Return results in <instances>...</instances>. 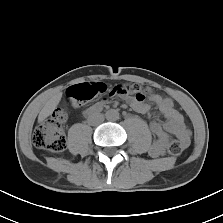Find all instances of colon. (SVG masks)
Returning <instances> with one entry per match:
<instances>
[{
    "label": "colon",
    "mask_w": 223,
    "mask_h": 223,
    "mask_svg": "<svg viewBox=\"0 0 223 223\" xmlns=\"http://www.w3.org/2000/svg\"><path fill=\"white\" fill-rule=\"evenodd\" d=\"M106 91V86L100 82L80 83L70 86L66 91L67 98L73 104L85 103L93 100ZM112 94L115 96H134L138 100H143L153 94L149 87L141 86L137 83L117 84ZM163 104L167 108L176 106V99L166 96ZM67 114L62 109L55 110L47 121L38 125L33 132V143L39 149L50 152H61L66 148V136L62 124L66 121ZM168 151L173 156H179L183 152V145L179 140H172L168 146Z\"/></svg>",
    "instance_id": "colon-1"
}]
</instances>
